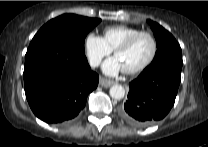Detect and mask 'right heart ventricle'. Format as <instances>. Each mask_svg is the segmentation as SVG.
<instances>
[{
    "label": "right heart ventricle",
    "instance_id": "e07e8e85",
    "mask_svg": "<svg viewBox=\"0 0 208 147\" xmlns=\"http://www.w3.org/2000/svg\"><path fill=\"white\" fill-rule=\"evenodd\" d=\"M141 30L127 25H116L107 27L103 32V39L108 47L113 51L122 42L130 36L140 32Z\"/></svg>",
    "mask_w": 208,
    "mask_h": 147
}]
</instances>
